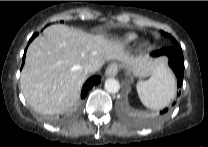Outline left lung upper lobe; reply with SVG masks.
Returning a JSON list of instances; mask_svg holds the SVG:
<instances>
[{"mask_svg": "<svg viewBox=\"0 0 208 147\" xmlns=\"http://www.w3.org/2000/svg\"><path fill=\"white\" fill-rule=\"evenodd\" d=\"M162 34L166 37H169L171 39V42L173 43L174 47L180 48L179 44L177 43V41L168 33H165L162 31Z\"/></svg>", "mask_w": 208, "mask_h": 147, "instance_id": "left-lung-upper-lobe-1", "label": "left lung upper lobe"}]
</instances>
